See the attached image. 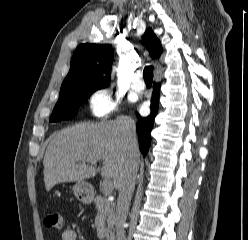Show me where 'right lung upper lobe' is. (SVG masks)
<instances>
[{
    "mask_svg": "<svg viewBox=\"0 0 248 240\" xmlns=\"http://www.w3.org/2000/svg\"><path fill=\"white\" fill-rule=\"evenodd\" d=\"M152 58H159L162 46L149 28L142 36ZM113 51L109 44H80L72 57L70 71L64 79L60 92L69 88H104L110 82Z\"/></svg>",
    "mask_w": 248,
    "mask_h": 240,
    "instance_id": "obj_1",
    "label": "right lung upper lobe"
}]
</instances>
